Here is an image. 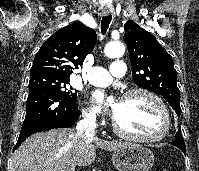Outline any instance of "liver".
I'll list each match as a JSON object with an SVG mask.
<instances>
[{
	"label": "liver",
	"instance_id": "6515ba94",
	"mask_svg": "<svg viewBox=\"0 0 199 171\" xmlns=\"http://www.w3.org/2000/svg\"><path fill=\"white\" fill-rule=\"evenodd\" d=\"M127 143L88 139L73 129H53L27 138L12 157L11 171H75L96 158V148L115 151Z\"/></svg>",
	"mask_w": 199,
	"mask_h": 171
}]
</instances>
